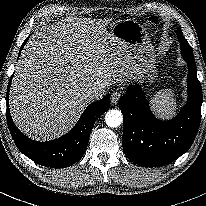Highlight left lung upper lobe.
<instances>
[{"mask_svg": "<svg viewBox=\"0 0 206 206\" xmlns=\"http://www.w3.org/2000/svg\"><path fill=\"white\" fill-rule=\"evenodd\" d=\"M177 36H178V39L180 41L181 48H185L186 51L191 52L193 54L192 48L188 44L187 40L184 38L180 28L177 29Z\"/></svg>", "mask_w": 206, "mask_h": 206, "instance_id": "left-lung-upper-lobe-1", "label": "left lung upper lobe"}]
</instances>
